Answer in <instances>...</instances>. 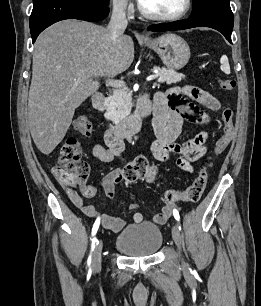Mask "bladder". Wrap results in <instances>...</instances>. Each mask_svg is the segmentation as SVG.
Returning a JSON list of instances; mask_svg holds the SVG:
<instances>
[{"label": "bladder", "mask_w": 261, "mask_h": 306, "mask_svg": "<svg viewBox=\"0 0 261 306\" xmlns=\"http://www.w3.org/2000/svg\"><path fill=\"white\" fill-rule=\"evenodd\" d=\"M163 243L161 229L142 222L125 227L115 238V248L130 257H147L156 254Z\"/></svg>", "instance_id": "1"}]
</instances>
